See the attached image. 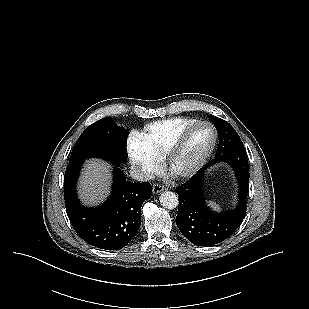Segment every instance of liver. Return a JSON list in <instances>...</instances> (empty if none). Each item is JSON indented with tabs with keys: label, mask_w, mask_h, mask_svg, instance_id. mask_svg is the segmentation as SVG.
<instances>
[{
	"label": "liver",
	"mask_w": 309,
	"mask_h": 309,
	"mask_svg": "<svg viewBox=\"0 0 309 309\" xmlns=\"http://www.w3.org/2000/svg\"><path fill=\"white\" fill-rule=\"evenodd\" d=\"M109 165L99 159L86 162L79 184V195L85 204H97L109 193Z\"/></svg>",
	"instance_id": "1"
}]
</instances>
